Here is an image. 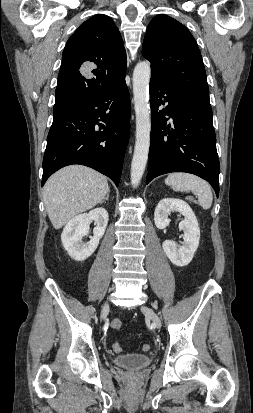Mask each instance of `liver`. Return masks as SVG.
<instances>
[{
    "mask_svg": "<svg viewBox=\"0 0 253 413\" xmlns=\"http://www.w3.org/2000/svg\"><path fill=\"white\" fill-rule=\"evenodd\" d=\"M108 192L105 176L86 166L71 165L47 180L43 199L53 227L60 229L75 216L99 204Z\"/></svg>",
    "mask_w": 253,
    "mask_h": 413,
    "instance_id": "obj_1",
    "label": "liver"
}]
</instances>
